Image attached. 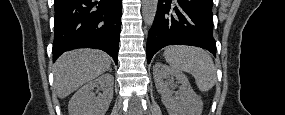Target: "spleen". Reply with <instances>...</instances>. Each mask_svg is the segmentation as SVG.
Wrapping results in <instances>:
<instances>
[{"label":"spleen","instance_id":"obj_1","mask_svg":"<svg viewBox=\"0 0 285 115\" xmlns=\"http://www.w3.org/2000/svg\"><path fill=\"white\" fill-rule=\"evenodd\" d=\"M163 55L172 69L192 74L201 92H207L215 85L216 68L204 49L175 45L167 47Z\"/></svg>","mask_w":285,"mask_h":115}]
</instances>
